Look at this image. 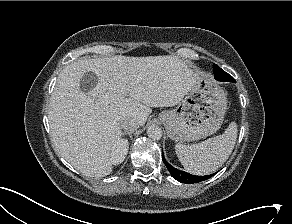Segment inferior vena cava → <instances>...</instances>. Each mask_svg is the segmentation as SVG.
<instances>
[{"label":"inferior vena cava","instance_id":"602c4592","mask_svg":"<svg viewBox=\"0 0 292 224\" xmlns=\"http://www.w3.org/2000/svg\"><path fill=\"white\" fill-rule=\"evenodd\" d=\"M120 127L128 132H133L139 127V123L131 117H124L120 119Z\"/></svg>","mask_w":292,"mask_h":224}]
</instances>
